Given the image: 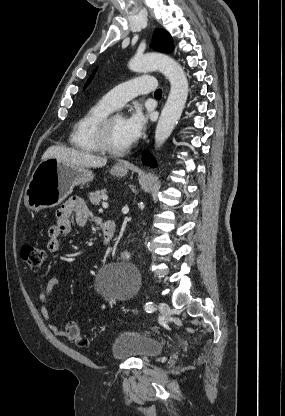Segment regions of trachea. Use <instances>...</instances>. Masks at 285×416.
Segmentation results:
<instances>
[{"instance_id":"obj_1","label":"trachea","mask_w":285,"mask_h":416,"mask_svg":"<svg viewBox=\"0 0 285 416\" xmlns=\"http://www.w3.org/2000/svg\"><path fill=\"white\" fill-rule=\"evenodd\" d=\"M154 96L155 97H162V90L160 88H158L155 92H154Z\"/></svg>"}]
</instances>
